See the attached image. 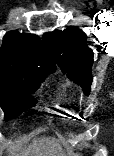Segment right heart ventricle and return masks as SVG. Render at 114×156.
Segmentation results:
<instances>
[{"label": "right heart ventricle", "mask_w": 114, "mask_h": 156, "mask_svg": "<svg viewBox=\"0 0 114 156\" xmlns=\"http://www.w3.org/2000/svg\"><path fill=\"white\" fill-rule=\"evenodd\" d=\"M60 97L63 102L73 105L76 102V98L74 95H72L67 89H62L60 91Z\"/></svg>", "instance_id": "obj_1"}]
</instances>
